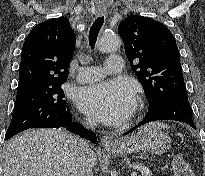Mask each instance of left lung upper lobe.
<instances>
[{
  "mask_svg": "<svg viewBox=\"0 0 205 176\" xmlns=\"http://www.w3.org/2000/svg\"><path fill=\"white\" fill-rule=\"evenodd\" d=\"M118 33L149 104L186 92L176 41L164 24L131 15L119 24Z\"/></svg>",
  "mask_w": 205,
  "mask_h": 176,
  "instance_id": "5c2ea615",
  "label": "left lung upper lobe"
}]
</instances>
